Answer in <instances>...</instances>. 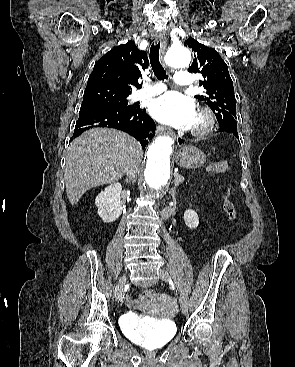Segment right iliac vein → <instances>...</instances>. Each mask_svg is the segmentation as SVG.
I'll return each mask as SVG.
<instances>
[{"label":"right iliac vein","instance_id":"right-iliac-vein-1","mask_svg":"<svg viewBox=\"0 0 295 367\" xmlns=\"http://www.w3.org/2000/svg\"><path fill=\"white\" fill-rule=\"evenodd\" d=\"M126 281H127V278H126V275H123L121 277V279L119 280V283L116 287V290H115V298L116 299H120L121 298V295H122V291H123V288L126 284Z\"/></svg>","mask_w":295,"mask_h":367}]
</instances>
